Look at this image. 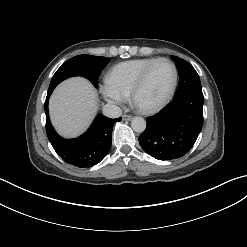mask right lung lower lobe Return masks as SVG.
Listing matches in <instances>:
<instances>
[{
    "instance_id": "obj_1",
    "label": "right lung lower lobe",
    "mask_w": 247,
    "mask_h": 247,
    "mask_svg": "<svg viewBox=\"0 0 247 247\" xmlns=\"http://www.w3.org/2000/svg\"><path fill=\"white\" fill-rule=\"evenodd\" d=\"M53 89H48L45 101L46 132L56 153L66 162L85 168L99 163L109 152L112 143V128L121 118L110 119L98 115L90 128L80 137L64 139L51 125L48 113V101Z\"/></svg>"
}]
</instances>
